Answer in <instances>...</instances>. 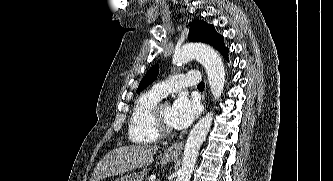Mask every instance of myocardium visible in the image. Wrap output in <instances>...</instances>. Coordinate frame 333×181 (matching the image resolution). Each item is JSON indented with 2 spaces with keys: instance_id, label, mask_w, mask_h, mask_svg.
Listing matches in <instances>:
<instances>
[{
  "instance_id": "f54148a6",
  "label": "myocardium",
  "mask_w": 333,
  "mask_h": 181,
  "mask_svg": "<svg viewBox=\"0 0 333 181\" xmlns=\"http://www.w3.org/2000/svg\"><path fill=\"white\" fill-rule=\"evenodd\" d=\"M168 104L166 101H160L152 110L151 121L154 130L162 136H168L172 133L170 126L166 125L161 119V111L164 105Z\"/></svg>"
}]
</instances>
